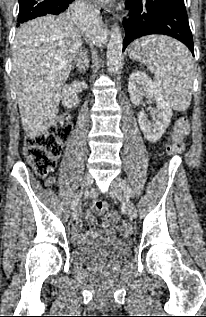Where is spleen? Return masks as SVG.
Returning a JSON list of instances; mask_svg holds the SVG:
<instances>
[{
  "instance_id": "3e777b00",
  "label": "spleen",
  "mask_w": 206,
  "mask_h": 317,
  "mask_svg": "<svg viewBox=\"0 0 206 317\" xmlns=\"http://www.w3.org/2000/svg\"><path fill=\"white\" fill-rule=\"evenodd\" d=\"M129 56L154 73V84L171 108L185 111L189 107L194 63L183 44L166 36L150 35L135 40Z\"/></svg>"
}]
</instances>
